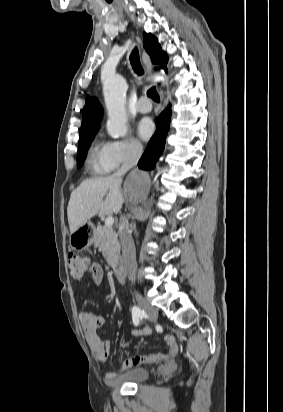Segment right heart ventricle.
Instances as JSON below:
<instances>
[{
	"mask_svg": "<svg viewBox=\"0 0 283 412\" xmlns=\"http://www.w3.org/2000/svg\"><path fill=\"white\" fill-rule=\"evenodd\" d=\"M88 166L94 174H105L114 168L109 163L106 154V144L95 142L88 153Z\"/></svg>",
	"mask_w": 283,
	"mask_h": 412,
	"instance_id": "right-heart-ventricle-1",
	"label": "right heart ventricle"
}]
</instances>
